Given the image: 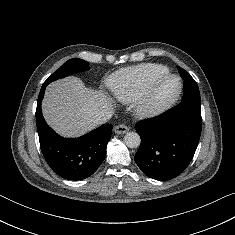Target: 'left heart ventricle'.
Returning a JSON list of instances; mask_svg holds the SVG:
<instances>
[{
    "label": "left heart ventricle",
    "mask_w": 235,
    "mask_h": 235,
    "mask_svg": "<svg viewBox=\"0 0 235 235\" xmlns=\"http://www.w3.org/2000/svg\"><path fill=\"white\" fill-rule=\"evenodd\" d=\"M177 89V82L175 80H167L160 83L154 91V99L156 101H164L170 98Z\"/></svg>",
    "instance_id": "b2bd125f"
}]
</instances>
